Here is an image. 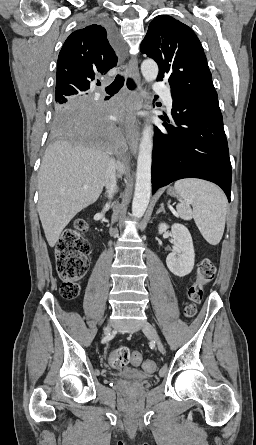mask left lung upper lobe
Listing matches in <instances>:
<instances>
[{
	"mask_svg": "<svg viewBox=\"0 0 256 445\" xmlns=\"http://www.w3.org/2000/svg\"><path fill=\"white\" fill-rule=\"evenodd\" d=\"M140 50L157 62V80L168 79L172 92L218 102L202 45L187 25L168 15L155 17Z\"/></svg>",
	"mask_w": 256,
	"mask_h": 445,
	"instance_id": "1",
	"label": "left lung upper lobe"
}]
</instances>
